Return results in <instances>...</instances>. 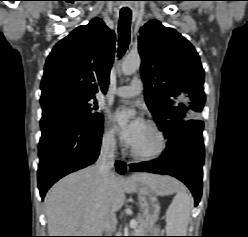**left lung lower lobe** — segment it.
I'll return each mask as SVG.
<instances>
[{"label":"left lung lower lobe","mask_w":248,"mask_h":237,"mask_svg":"<svg viewBox=\"0 0 248 237\" xmlns=\"http://www.w3.org/2000/svg\"><path fill=\"white\" fill-rule=\"evenodd\" d=\"M203 125L197 119L181 123L168 138L167 147L160 158L131 164V169L176 177L190 189L197 205L202 193Z\"/></svg>","instance_id":"obj_1"}]
</instances>
